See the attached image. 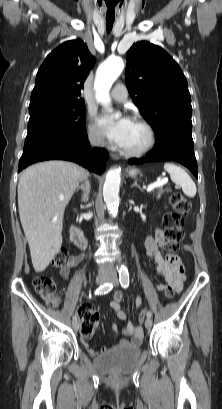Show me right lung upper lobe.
Segmentation results:
<instances>
[{
	"label": "right lung upper lobe",
	"mask_w": 222,
	"mask_h": 409,
	"mask_svg": "<svg viewBox=\"0 0 222 409\" xmlns=\"http://www.w3.org/2000/svg\"><path fill=\"white\" fill-rule=\"evenodd\" d=\"M95 63L80 39L62 43L45 59L36 75L29 108L49 103L83 102V83Z\"/></svg>",
	"instance_id": "right-lung-upper-lobe-1"
}]
</instances>
